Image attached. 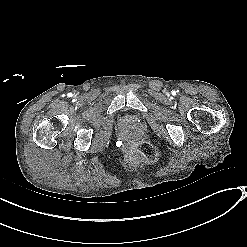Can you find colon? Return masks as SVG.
Instances as JSON below:
<instances>
[{
    "label": "colon",
    "mask_w": 247,
    "mask_h": 247,
    "mask_svg": "<svg viewBox=\"0 0 247 247\" xmlns=\"http://www.w3.org/2000/svg\"><path fill=\"white\" fill-rule=\"evenodd\" d=\"M158 160V152L156 148L147 141H141L137 144V154L130 157L129 162L132 163H149L153 164Z\"/></svg>",
    "instance_id": "1"
}]
</instances>
